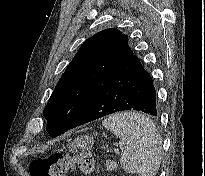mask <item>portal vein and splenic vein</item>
Returning a JSON list of instances; mask_svg holds the SVG:
<instances>
[{"label":"portal vein and splenic vein","instance_id":"obj_1","mask_svg":"<svg viewBox=\"0 0 205 176\" xmlns=\"http://www.w3.org/2000/svg\"><path fill=\"white\" fill-rule=\"evenodd\" d=\"M114 152H115L116 154H119V149H118V148H114Z\"/></svg>","mask_w":205,"mask_h":176}]
</instances>
